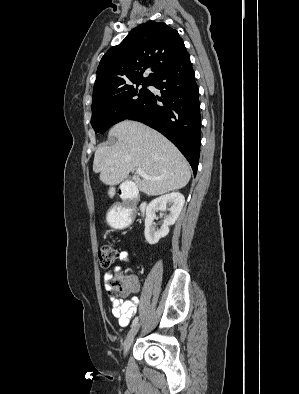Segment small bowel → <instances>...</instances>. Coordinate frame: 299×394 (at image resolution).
<instances>
[{
  "label": "small bowel",
  "mask_w": 299,
  "mask_h": 394,
  "mask_svg": "<svg viewBox=\"0 0 299 394\" xmlns=\"http://www.w3.org/2000/svg\"><path fill=\"white\" fill-rule=\"evenodd\" d=\"M122 211V205L117 207V213L120 216V213ZM119 258L120 260L123 261H128L130 260V255L127 251L122 250L119 253ZM121 267H116L115 271H120ZM133 278V288H132V293H137L139 291V281L138 277L136 275H130ZM112 278L111 273H106L103 278L104 282V288L106 291H109L110 288L108 286L109 280ZM109 301L112 304V314L115 318H117L118 323L121 327H126L128 326L130 320L132 317L135 315L137 311V307L139 304V299L138 297L134 296L129 300H119L116 299L115 297L109 295Z\"/></svg>",
  "instance_id": "obj_1"
}]
</instances>
